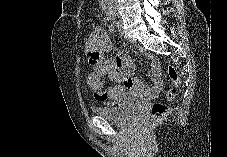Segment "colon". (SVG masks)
Listing matches in <instances>:
<instances>
[{
    "instance_id": "1",
    "label": "colon",
    "mask_w": 227,
    "mask_h": 157,
    "mask_svg": "<svg viewBox=\"0 0 227 157\" xmlns=\"http://www.w3.org/2000/svg\"><path fill=\"white\" fill-rule=\"evenodd\" d=\"M169 76L173 81L175 87H179L181 85V79L178 74V71L173 66L169 67ZM87 84L88 86L94 90V92H101L103 90L104 81L102 75L91 72L87 76ZM176 96V89H169L165 93V99L167 101H173ZM170 113V107L163 103H154L151 107V119L153 123H159L164 120Z\"/></svg>"
}]
</instances>
